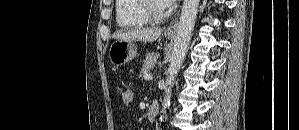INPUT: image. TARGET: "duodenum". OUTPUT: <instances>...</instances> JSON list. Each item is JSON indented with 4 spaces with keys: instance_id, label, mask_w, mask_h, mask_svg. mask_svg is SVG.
Here are the masks:
<instances>
[{
    "instance_id": "duodenum-1",
    "label": "duodenum",
    "mask_w": 299,
    "mask_h": 130,
    "mask_svg": "<svg viewBox=\"0 0 299 130\" xmlns=\"http://www.w3.org/2000/svg\"><path fill=\"white\" fill-rule=\"evenodd\" d=\"M159 108L157 103L152 102L147 109V119L149 122H154L157 119Z\"/></svg>"
}]
</instances>
